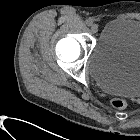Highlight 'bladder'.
Returning a JSON list of instances; mask_svg holds the SVG:
<instances>
[{
    "label": "bladder",
    "instance_id": "obj_1",
    "mask_svg": "<svg viewBox=\"0 0 140 140\" xmlns=\"http://www.w3.org/2000/svg\"><path fill=\"white\" fill-rule=\"evenodd\" d=\"M89 66L104 91L140 96V20L115 18L109 21L98 36Z\"/></svg>",
    "mask_w": 140,
    "mask_h": 140
}]
</instances>
